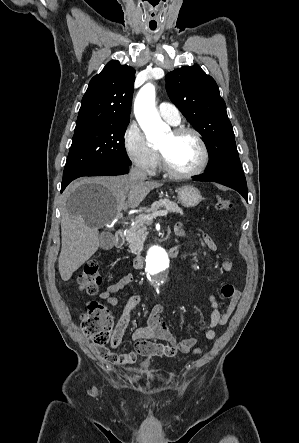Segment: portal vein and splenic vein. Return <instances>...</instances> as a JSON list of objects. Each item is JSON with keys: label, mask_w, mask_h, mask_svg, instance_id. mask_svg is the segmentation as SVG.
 Wrapping results in <instances>:
<instances>
[{"label": "portal vein and splenic vein", "mask_w": 299, "mask_h": 443, "mask_svg": "<svg viewBox=\"0 0 299 443\" xmlns=\"http://www.w3.org/2000/svg\"><path fill=\"white\" fill-rule=\"evenodd\" d=\"M167 214H168V212L166 210H161V211L154 212L150 215H147L143 218L145 220L152 221L154 218L161 217V216H167ZM121 217H122V214L118 213V214H116L114 219H120Z\"/></svg>", "instance_id": "obj_1"}]
</instances>
